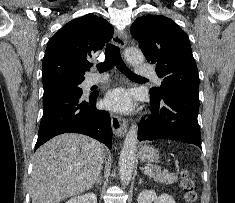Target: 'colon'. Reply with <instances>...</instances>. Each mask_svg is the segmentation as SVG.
<instances>
[{
	"label": "colon",
	"instance_id": "colon-1",
	"mask_svg": "<svg viewBox=\"0 0 235 203\" xmlns=\"http://www.w3.org/2000/svg\"><path fill=\"white\" fill-rule=\"evenodd\" d=\"M181 187L184 191L185 200L188 203H193L197 198V194L195 191V183L189 176L187 171L182 172Z\"/></svg>",
	"mask_w": 235,
	"mask_h": 203
}]
</instances>
